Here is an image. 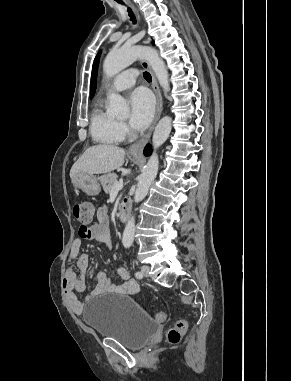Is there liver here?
<instances>
[{"mask_svg":"<svg viewBox=\"0 0 291 381\" xmlns=\"http://www.w3.org/2000/svg\"><path fill=\"white\" fill-rule=\"evenodd\" d=\"M125 150L115 145L100 144L88 148L73 164L70 177L78 173L102 174L119 169L124 164Z\"/></svg>","mask_w":291,"mask_h":381,"instance_id":"1","label":"liver"}]
</instances>
